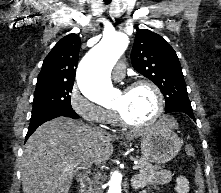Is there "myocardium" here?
Masks as SVG:
<instances>
[{"mask_svg":"<svg viewBox=\"0 0 221 193\" xmlns=\"http://www.w3.org/2000/svg\"><path fill=\"white\" fill-rule=\"evenodd\" d=\"M140 86H147L153 91L156 98V109L153 116L149 120L145 122H131L124 116V114L118 108H114V112L119 123L128 128L140 129L149 127L156 123L163 113L164 97L160 88L153 81L147 79L136 80L130 83L124 90L129 91Z\"/></svg>","mask_w":221,"mask_h":193,"instance_id":"1","label":"myocardium"}]
</instances>
